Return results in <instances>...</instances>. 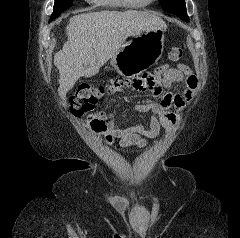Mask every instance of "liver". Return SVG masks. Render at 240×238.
I'll return each instance as SVG.
<instances>
[{
    "label": "liver",
    "mask_w": 240,
    "mask_h": 238,
    "mask_svg": "<svg viewBox=\"0 0 240 238\" xmlns=\"http://www.w3.org/2000/svg\"><path fill=\"white\" fill-rule=\"evenodd\" d=\"M154 29L166 30L167 25L155 14L137 10L82 13L70 18L68 40L54 56L62 105L66 106V93L78 79L96 75L128 37Z\"/></svg>",
    "instance_id": "liver-1"
}]
</instances>
